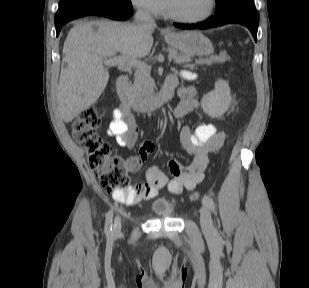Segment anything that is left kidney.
Returning a JSON list of instances; mask_svg holds the SVG:
<instances>
[{"label":"left kidney","mask_w":309,"mask_h":288,"mask_svg":"<svg viewBox=\"0 0 309 288\" xmlns=\"http://www.w3.org/2000/svg\"><path fill=\"white\" fill-rule=\"evenodd\" d=\"M230 105V87L223 80L216 81L214 90L205 94L201 100L203 111L212 118L222 117Z\"/></svg>","instance_id":"left-kidney-1"}]
</instances>
